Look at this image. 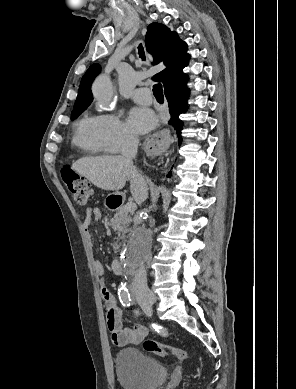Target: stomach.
<instances>
[{"label":"stomach","mask_w":296,"mask_h":389,"mask_svg":"<svg viewBox=\"0 0 296 389\" xmlns=\"http://www.w3.org/2000/svg\"><path fill=\"white\" fill-rule=\"evenodd\" d=\"M113 195H115V196H121V194H119V193H115V194H113Z\"/></svg>","instance_id":"stomach-1"}]
</instances>
